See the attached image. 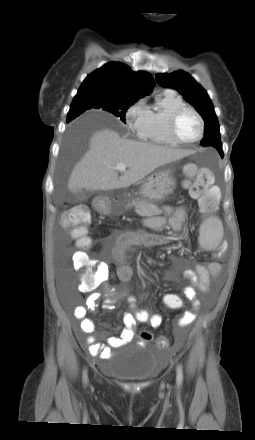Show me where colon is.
Masks as SVG:
<instances>
[{
    "label": "colon",
    "instance_id": "colon-1",
    "mask_svg": "<svg viewBox=\"0 0 255 440\" xmlns=\"http://www.w3.org/2000/svg\"><path fill=\"white\" fill-rule=\"evenodd\" d=\"M184 173L186 175L184 186L188 188L190 195L199 200L203 211L213 212L217 208L219 198L218 192L212 186L213 172L206 167L188 165L185 167ZM90 219V210L85 205L73 206L61 216V225L69 231L81 248H86L89 245L87 228ZM73 267L82 274L79 289L82 291L91 290L96 285L97 269L94 260L84 251H77L73 255ZM161 304L165 306L167 311H183L185 308L183 298H162ZM141 338L148 341L151 339V334L144 331L141 333ZM156 339L162 352L171 350L173 341L165 338L164 334H157Z\"/></svg>",
    "mask_w": 255,
    "mask_h": 440
}]
</instances>
